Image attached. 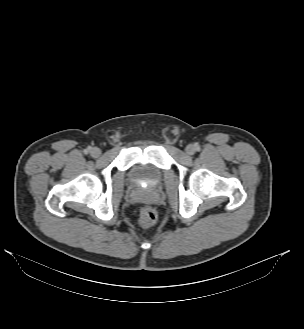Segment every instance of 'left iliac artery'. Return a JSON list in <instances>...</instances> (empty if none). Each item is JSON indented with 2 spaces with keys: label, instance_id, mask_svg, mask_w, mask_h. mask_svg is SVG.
<instances>
[{
  "label": "left iliac artery",
  "instance_id": "44dca946",
  "mask_svg": "<svg viewBox=\"0 0 304 329\" xmlns=\"http://www.w3.org/2000/svg\"><path fill=\"white\" fill-rule=\"evenodd\" d=\"M195 148H196V150H199V146L197 144L195 145Z\"/></svg>",
  "mask_w": 304,
  "mask_h": 329
}]
</instances>
